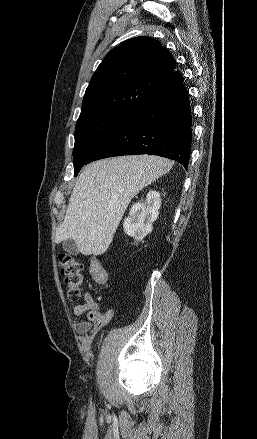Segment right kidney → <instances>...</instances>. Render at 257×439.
<instances>
[{
	"instance_id": "right-kidney-1",
	"label": "right kidney",
	"mask_w": 257,
	"mask_h": 439,
	"mask_svg": "<svg viewBox=\"0 0 257 439\" xmlns=\"http://www.w3.org/2000/svg\"><path fill=\"white\" fill-rule=\"evenodd\" d=\"M161 206L160 193L151 190L146 199L133 204L129 216L125 218L123 228L128 236L136 241L142 240L152 232V224L156 221Z\"/></svg>"
}]
</instances>
